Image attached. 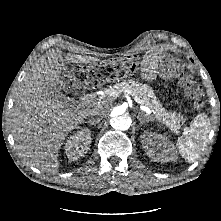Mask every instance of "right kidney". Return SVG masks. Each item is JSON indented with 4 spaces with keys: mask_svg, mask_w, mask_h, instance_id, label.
Listing matches in <instances>:
<instances>
[{
    "mask_svg": "<svg viewBox=\"0 0 221 221\" xmlns=\"http://www.w3.org/2000/svg\"><path fill=\"white\" fill-rule=\"evenodd\" d=\"M91 131L82 129L72 135L65 143L64 149L67 157L71 161H76L84 156L90 147Z\"/></svg>",
    "mask_w": 221,
    "mask_h": 221,
    "instance_id": "ca27d5eb",
    "label": "right kidney"
}]
</instances>
